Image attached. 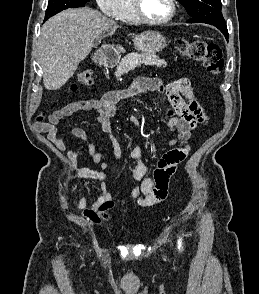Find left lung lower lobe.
Segmentation results:
<instances>
[{
	"label": "left lung lower lobe",
	"instance_id": "obj_1",
	"mask_svg": "<svg viewBox=\"0 0 259 294\" xmlns=\"http://www.w3.org/2000/svg\"><path fill=\"white\" fill-rule=\"evenodd\" d=\"M214 26L217 27L224 34L226 39H228V30H227V26L225 24H223V25H214Z\"/></svg>",
	"mask_w": 259,
	"mask_h": 294
}]
</instances>
